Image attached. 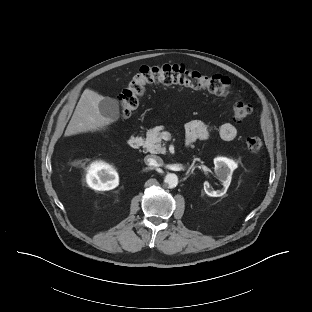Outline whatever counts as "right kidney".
Listing matches in <instances>:
<instances>
[{"label": "right kidney", "instance_id": "1", "mask_svg": "<svg viewBox=\"0 0 312 312\" xmlns=\"http://www.w3.org/2000/svg\"><path fill=\"white\" fill-rule=\"evenodd\" d=\"M86 181L91 188L105 191L117 187L119 184V177L118 173L111 165L97 162L90 165Z\"/></svg>", "mask_w": 312, "mask_h": 312}]
</instances>
